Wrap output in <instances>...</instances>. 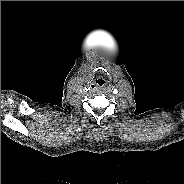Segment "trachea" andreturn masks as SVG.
Segmentation results:
<instances>
[{
	"mask_svg": "<svg viewBox=\"0 0 184 184\" xmlns=\"http://www.w3.org/2000/svg\"><path fill=\"white\" fill-rule=\"evenodd\" d=\"M106 86V81L103 78H98L94 81L92 87L96 89H102Z\"/></svg>",
	"mask_w": 184,
	"mask_h": 184,
	"instance_id": "obj_1",
	"label": "trachea"
}]
</instances>
